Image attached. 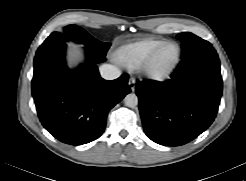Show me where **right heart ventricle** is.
<instances>
[{"mask_svg":"<svg viewBox=\"0 0 246 181\" xmlns=\"http://www.w3.org/2000/svg\"><path fill=\"white\" fill-rule=\"evenodd\" d=\"M164 44L163 40L148 37L128 43L120 47L116 59L128 68L140 66L158 47Z\"/></svg>","mask_w":246,"mask_h":181,"instance_id":"obj_1","label":"right heart ventricle"}]
</instances>
